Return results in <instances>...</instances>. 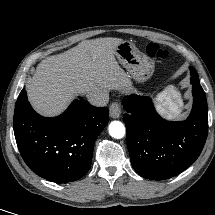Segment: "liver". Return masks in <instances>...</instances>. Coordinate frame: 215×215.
<instances>
[{
  "instance_id": "obj_1",
  "label": "liver",
  "mask_w": 215,
  "mask_h": 215,
  "mask_svg": "<svg viewBox=\"0 0 215 215\" xmlns=\"http://www.w3.org/2000/svg\"><path fill=\"white\" fill-rule=\"evenodd\" d=\"M121 42L119 38L85 40L42 60L26 87L33 108L52 117L62 113L77 94L127 89L130 76L114 56Z\"/></svg>"
}]
</instances>
